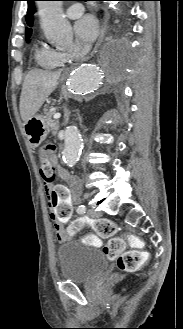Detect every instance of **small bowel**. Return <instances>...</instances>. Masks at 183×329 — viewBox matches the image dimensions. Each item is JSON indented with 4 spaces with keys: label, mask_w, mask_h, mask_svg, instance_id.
Masks as SVG:
<instances>
[{
    "label": "small bowel",
    "mask_w": 183,
    "mask_h": 329,
    "mask_svg": "<svg viewBox=\"0 0 183 329\" xmlns=\"http://www.w3.org/2000/svg\"><path fill=\"white\" fill-rule=\"evenodd\" d=\"M59 176L64 179L69 187H64L63 182H54L53 187H45L51 217L56 221L54 226L55 237L58 241L65 240L66 234L63 227H70L69 220L73 204L80 199V181L75 175L68 173L65 169H58ZM99 242V241H97Z\"/></svg>",
    "instance_id": "1"
}]
</instances>
